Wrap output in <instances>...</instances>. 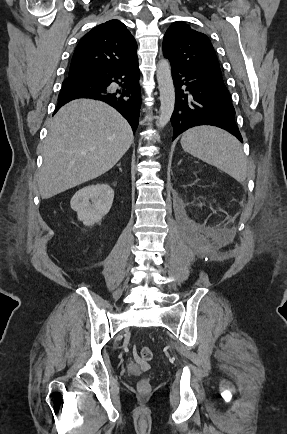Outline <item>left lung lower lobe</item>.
<instances>
[{"instance_id": "left-lung-lower-lobe-1", "label": "left lung lower lobe", "mask_w": 287, "mask_h": 434, "mask_svg": "<svg viewBox=\"0 0 287 434\" xmlns=\"http://www.w3.org/2000/svg\"><path fill=\"white\" fill-rule=\"evenodd\" d=\"M171 69L176 93L171 117L173 140L191 127L213 125L227 130L242 142L235 123V109L224 82L185 65L171 63Z\"/></svg>"}]
</instances>
